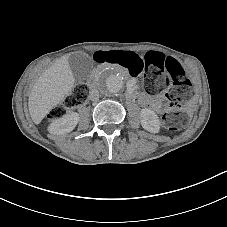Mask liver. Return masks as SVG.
Listing matches in <instances>:
<instances>
[{
    "label": "liver",
    "instance_id": "liver-1",
    "mask_svg": "<svg viewBox=\"0 0 227 227\" xmlns=\"http://www.w3.org/2000/svg\"><path fill=\"white\" fill-rule=\"evenodd\" d=\"M74 85V76L68 55L58 59L36 81L29 95V112L35 124L60 102L64 101Z\"/></svg>",
    "mask_w": 227,
    "mask_h": 227
}]
</instances>
